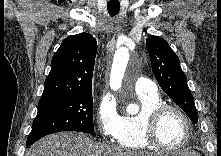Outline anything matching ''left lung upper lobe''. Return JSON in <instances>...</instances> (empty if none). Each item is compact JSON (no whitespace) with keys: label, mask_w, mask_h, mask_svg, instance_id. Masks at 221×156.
Wrapping results in <instances>:
<instances>
[{"label":"left lung upper lobe","mask_w":221,"mask_h":156,"mask_svg":"<svg viewBox=\"0 0 221 156\" xmlns=\"http://www.w3.org/2000/svg\"><path fill=\"white\" fill-rule=\"evenodd\" d=\"M146 47L153 73L163 91L179 105L193 124L197 123V109L178 56L169 44L158 36H149L146 40Z\"/></svg>","instance_id":"left-lung-upper-lobe-1"}]
</instances>
